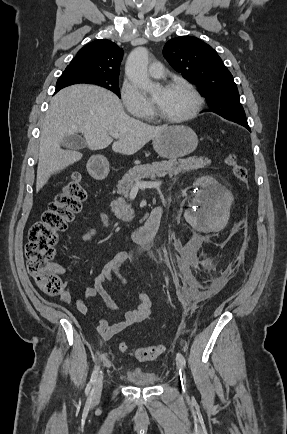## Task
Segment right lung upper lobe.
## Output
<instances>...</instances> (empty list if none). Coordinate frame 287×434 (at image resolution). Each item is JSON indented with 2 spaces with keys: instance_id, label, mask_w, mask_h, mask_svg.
Returning a JSON list of instances; mask_svg holds the SVG:
<instances>
[{
  "instance_id": "1",
  "label": "right lung upper lobe",
  "mask_w": 287,
  "mask_h": 434,
  "mask_svg": "<svg viewBox=\"0 0 287 434\" xmlns=\"http://www.w3.org/2000/svg\"><path fill=\"white\" fill-rule=\"evenodd\" d=\"M123 49L114 42L102 39L93 41L79 50L76 57L66 67L89 74L90 76L118 77ZM61 87H56L55 93Z\"/></svg>"
}]
</instances>
